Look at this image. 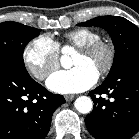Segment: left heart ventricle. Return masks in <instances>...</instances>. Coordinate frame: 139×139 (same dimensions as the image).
Here are the masks:
<instances>
[{"mask_svg": "<svg viewBox=\"0 0 139 139\" xmlns=\"http://www.w3.org/2000/svg\"><path fill=\"white\" fill-rule=\"evenodd\" d=\"M105 60V54L103 51H99L95 54H84L77 52L72 60V65L75 66H87L93 69L95 72H99L101 66Z\"/></svg>", "mask_w": 139, "mask_h": 139, "instance_id": "obj_1", "label": "left heart ventricle"}]
</instances>
